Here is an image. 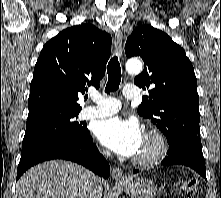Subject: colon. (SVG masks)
<instances>
[{
	"label": "colon",
	"mask_w": 221,
	"mask_h": 198,
	"mask_svg": "<svg viewBox=\"0 0 221 198\" xmlns=\"http://www.w3.org/2000/svg\"><path fill=\"white\" fill-rule=\"evenodd\" d=\"M182 189L186 198H198L197 196V180L195 178H188L182 184Z\"/></svg>",
	"instance_id": "obj_1"
}]
</instances>
